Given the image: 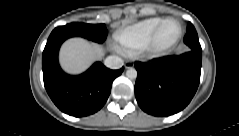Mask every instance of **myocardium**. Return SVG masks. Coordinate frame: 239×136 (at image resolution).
Listing matches in <instances>:
<instances>
[{
  "label": "myocardium",
  "mask_w": 239,
  "mask_h": 136,
  "mask_svg": "<svg viewBox=\"0 0 239 136\" xmlns=\"http://www.w3.org/2000/svg\"><path fill=\"white\" fill-rule=\"evenodd\" d=\"M170 23H176L178 28H179V34L181 32V26L178 22L176 21H173V20H166V21H163L156 29L155 31L151 34V36L148 38V40L145 42L146 44V47L149 48V49H152V48H157L159 47V44H158V37L161 33V31L163 30V28L165 26H167L168 24Z\"/></svg>",
  "instance_id": "myocardium-1"
}]
</instances>
